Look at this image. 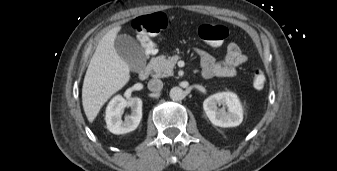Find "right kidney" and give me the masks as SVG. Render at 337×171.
<instances>
[{
	"label": "right kidney",
	"instance_id": "ca27d5eb",
	"mask_svg": "<svg viewBox=\"0 0 337 171\" xmlns=\"http://www.w3.org/2000/svg\"><path fill=\"white\" fill-rule=\"evenodd\" d=\"M126 107L131 108V114L122 121V115ZM142 119V100L133 97L125 100L121 95L115 96L106 108L105 120L107 128L113 134H125L134 131Z\"/></svg>",
	"mask_w": 337,
	"mask_h": 171
}]
</instances>
